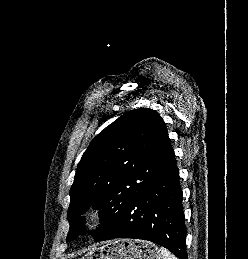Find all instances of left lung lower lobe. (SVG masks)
<instances>
[{
	"instance_id": "obj_1",
	"label": "left lung lower lobe",
	"mask_w": 248,
	"mask_h": 259,
	"mask_svg": "<svg viewBox=\"0 0 248 259\" xmlns=\"http://www.w3.org/2000/svg\"><path fill=\"white\" fill-rule=\"evenodd\" d=\"M182 190L176 161L94 241L135 238L157 243L187 259Z\"/></svg>"
}]
</instances>
